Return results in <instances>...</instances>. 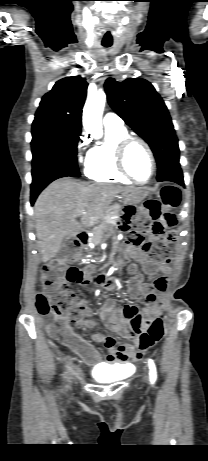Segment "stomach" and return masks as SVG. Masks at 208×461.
<instances>
[{
    "label": "stomach",
    "instance_id": "0dacf381",
    "mask_svg": "<svg viewBox=\"0 0 208 461\" xmlns=\"http://www.w3.org/2000/svg\"><path fill=\"white\" fill-rule=\"evenodd\" d=\"M148 192L144 189L138 188L132 192L123 194V203L124 204H139L146 196Z\"/></svg>",
    "mask_w": 208,
    "mask_h": 461
}]
</instances>
